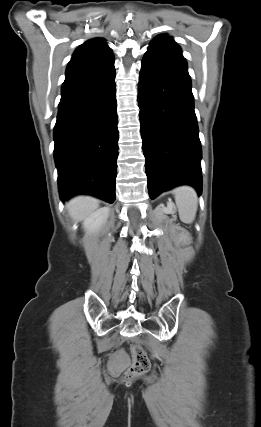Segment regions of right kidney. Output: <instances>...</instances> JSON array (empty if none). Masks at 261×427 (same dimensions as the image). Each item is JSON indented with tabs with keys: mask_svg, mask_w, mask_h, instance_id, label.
I'll list each match as a JSON object with an SVG mask.
<instances>
[{
	"mask_svg": "<svg viewBox=\"0 0 261 427\" xmlns=\"http://www.w3.org/2000/svg\"><path fill=\"white\" fill-rule=\"evenodd\" d=\"M109 215V208L104 207L96 210L88 216L84 222L83 227L87 232H95L99 230L106 222Z\"/></svg>",
	"mask_w": 261,
	"mask_h": 427,
	"instance_id": "1",
	"label": "right kidney"
}]
</instances>
